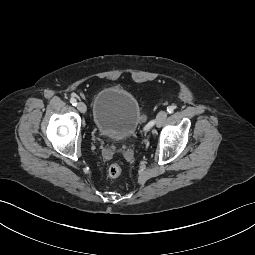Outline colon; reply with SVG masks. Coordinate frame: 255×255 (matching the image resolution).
<instances>
[{
  "mask_svg": "<svg viewBox=\"0 0 255 255\" xmlns=\"http://www.w3.org/2000/svg\"><path fill=\"white\" fill-rule=\"evenodd\" d=\"M122 173V167L119 163H112L108 167L107 174L110 178H117Z\"/></svg>",
  "mask_w": 255,
  "mask_h": 255,
  "instance_id": "colon-1",
  "label": "colon"
}]
</instances>
